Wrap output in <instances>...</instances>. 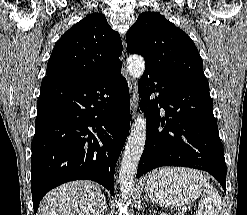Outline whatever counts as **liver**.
<instances>
[{
    "label": "liver",
    "mask_w": 247,
    "mask_h": 215,
    "mask_svg": "<svg viewBox=\"0 0 247 215\" xmlns=\"http://www.w3.org/2000/svg\"><path fill=\"white\" fill-rule=\"evenodd\" d=\"M105 197L89 181H73L50 191L39 206L40 215H102Z\"/></svg>",
    "instance_id": "obj_1"
}]
</instances>
